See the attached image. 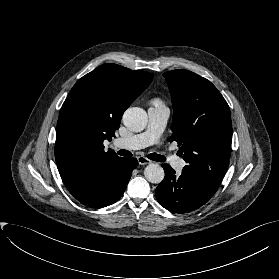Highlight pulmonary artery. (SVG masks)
<instances>
[{
    "instance_id": "e3ab8cb5",
    "label": "pulmonary artery",
    "mask_w": 279,
    "mask_h": 279,
    "mask_svg": "<svg viewBox=\"0 0 279 279\" xmlns=\"http://www.w3.org/2000/svg\"><path fill=\"white\" fill-rule=\"evenodd\" d=\"M168 117L169 111L164 105L154 104L148 109L147 129L139 134L118 138L115 143L130 150H138L153 145L162 135ZM168 159L177 171H181L185 166V161L177 156L170 155Z\"/></svg>"
}]
</instances>
